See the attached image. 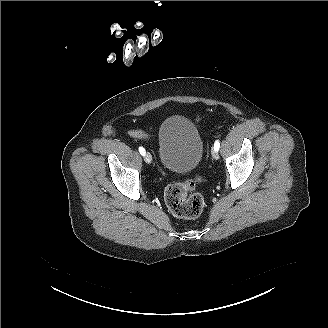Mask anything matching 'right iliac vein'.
<instances>
[{"instance_id":"right-iliac-vein-1","label":"right iliac vein","mask_w":328,"mask_h":328,"mask_svg":"<svg viewBox=\"0 0 328 328\" xmlns=\"http://www.w3.org/2000/svg\"><path fill=\"white\" fill-rule=\"evenodd\" d=\"M144 160H145V162L148 163V164H150V163L152 162V156H151V154H150L149 152H146V153L144 154Z\"/></svg>"}]
</instances>
